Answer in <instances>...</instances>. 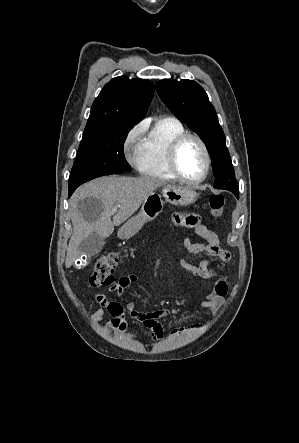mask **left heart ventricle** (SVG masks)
Here are the masks:
<instances>
[{
    "instance_id": "b2bd125f",
    "label": "left heart ventricle",
    "mask_w": 299,
    "mask_h": 443,
    "mask_svg": "<svg viewBox=\"0 0 299 443\" xmlns=\"http://www.w3.org/2000/svg\"><path fill=\"white\" fill-rule=\"evenodd\" d=\"M178 164L181 172L190 179L200 177L204 172L205 159L199 143L189 139L178 152Z\"/></svg>"
}]
</instances>
